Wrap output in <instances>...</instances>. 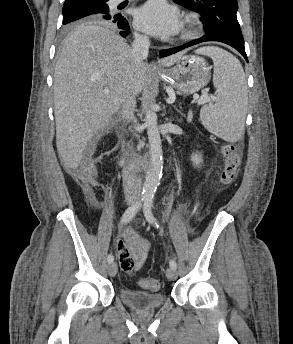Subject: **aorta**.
<instances>
[{
	"mask_svg": "<svg viewBox=\"0 0 293 344\" xmlns=\"http://www.w3.org/2000/svg\"><path fill=\"white\" fill-rule=\"evenodd\" d=\"M145 125L150 146V164L143 186V195L152 197L160 184L163 164L162 143L158 129L157 114L152 109H148L145 113Z\"/></svg>",
	"mask_w": 293,
	"mask_h": 344,
	"instance_id": "1",
	"label": "aorta"
}]
</instances>
